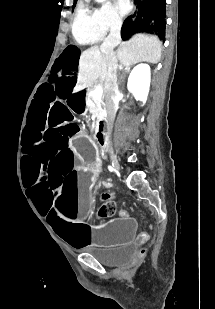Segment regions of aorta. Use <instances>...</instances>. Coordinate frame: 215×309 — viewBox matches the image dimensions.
<instances>
[{"instance_id":"762f6f07","label":"aorta","mask_w":215,"mask_h":309,"mask_svg":"<svg viewBox=\"0 0 215 309\" xmlns=\"http://www.w3.org/2000/svg\"><path fill=\"white\" fill-rule=\"evenodd\" d=\"M95 2H104V0H95Z\"/></svg>"}]
</instances>
